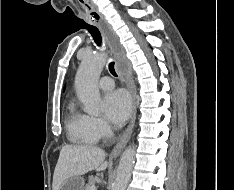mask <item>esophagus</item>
Instances as JSON below:
<instances>
[{
    "label": "esophagus",
    "mask_w": 234,
    "mask_h": 190,
    "mask_svg": "<svg viewBox=\"0 0 234 190\" xmlns=\"http://www.w3.org/2000/svg\"><path fill=\"white\" fill-rule=\"evenodd\" d=\"M99 27L101 28L115 59L118 60L122 58L124 56L123 48L119 42L118 36L113 31L112 27L103 18L99 20ZM125 81L132 97V115L127 129L119 139L118 143L114 146L111 152V157H117L120 154V152L124 149V147L126 146L127 142L131 137L136 120V114H137L136 88L130 71L126 72Z\"/></svg>",
    "instance_id": "obj_1"
}]
</instances>
